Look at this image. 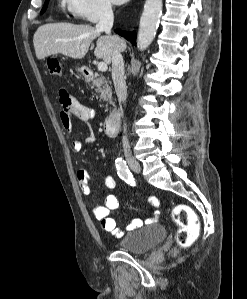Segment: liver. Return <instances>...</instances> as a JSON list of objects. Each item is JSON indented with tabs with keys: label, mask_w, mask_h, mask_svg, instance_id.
I'll return each instance as SVG.
<instances>
[{
	"label": "liver",
	"mask_w": 247,
	"mask_h": 299,
	"mask_svg": "<svg viewBox=\"0 0 247 299\" xmlns=\"http://www.w3.org/2000/svg\"><path fill=\"white\" fill-rule=\"evenodd\" d=\"M98 38L94 55L106 64L112 61L114 48L126 49V43L119 37L101 36V31L91 25L51 23L40 26L34 34L33 44L39 60L51 55L62 54L74 59L83 58L91 42Z\"/></svg>",
	"instance_id": "6515ba94"
}]
</instances>
